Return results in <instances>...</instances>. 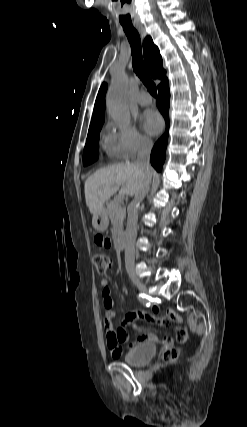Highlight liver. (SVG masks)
Listing matches in <instances>:
<instances>
[{
	"label": "liver",
	"instance_id": "1",
	"mask_svg": "<svg viewBox=\"0 0 247 427\" xmlns=\"http://www.w3.org/2000/svg\"><path fill=\"white\" fill-rule=\"evenodd\" d=\"M145 174L136 163L125 162L102 168L85 181V199L93 217L122 185V192L133 196L140 189Z\"/></svg>",
	"mask_w": 247,
	"mask_h": 427
}]
</instances>
